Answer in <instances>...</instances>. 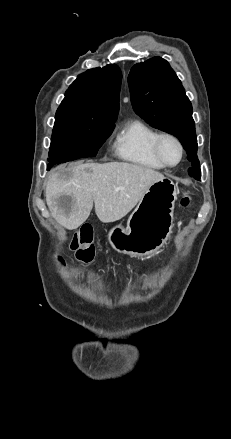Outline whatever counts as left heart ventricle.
I'll return each mask as SVG.
<instances>
[{
    "label": "left heart ventricle",
    "instance_id": "1",
    "mask_svg": "<svg viewBox=\"0 0 231 439\" xmlns=\"http://www.w3.org/2000/svg\"><path fill=\"white\" fill-rule=\"evenodd\" d=\"M164 158L170 164H175L180 157V150L177 144L171 139H164L161 144Z\"/></svg>",
    "mask_w": 231,
    "mask_h": 439
}]
</instances>
